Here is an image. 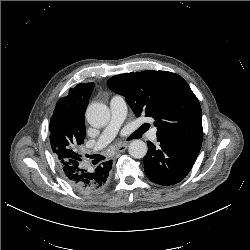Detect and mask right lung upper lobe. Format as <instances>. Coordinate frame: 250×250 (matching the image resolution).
Here are the masks:
<instances>
[{"instance_id": "right-lung-upper-lobe-1", "label": "right lung upper lobe", "mask_w": 250, "mask_h": 250, "mask_svg": "<svg viewBox=\"0 0 250 250\" xmlns=\"http://www.w3.org/2000/svg\"><path fill=\"white\" fill-rule=\"evenodd\" d=\"M94 83L78 84L69 90V94L58 100L50 120V134L74 139L85 133L84 114ZM67 160L59 159L58 162Z\"/></svg>"}]
</instances>
